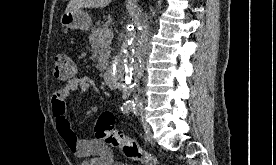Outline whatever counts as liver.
Instances as JSON below:
<instances>
[{
  "instance_id": "1",
  "label": "liver",
  "mask_w": 276,
  "mask_h": 165,
  "mask_svg": "<svg viewBox=\"0 0 276 165\" xmlns=\"http://www.w3.org/2000/svg\"><path fill=\"white\" fill-rule=\"evenodd\" d=\"M111 0H70L65 12L77 11L82 8H103L106 7Z\"/></svg>"
}]
</instances>
